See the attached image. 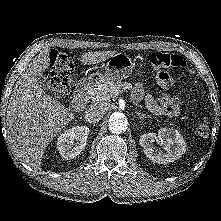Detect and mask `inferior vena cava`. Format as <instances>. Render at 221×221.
Masks as SVG:
<instances>
[{
  "label": "inferior vena cava",
  "instance_id": "inferior-vena-cava-1",
  "mask_svg": "<svg viewBox=\"0 0 221 221\" xmlns=\"http://www.w3.org/2000/svg\"><path fill=\"white\" fill-rule=\"evenodd\" d=\"M107 107L105 104H94L86 108L85 119L90 123H96L103 118Z\"/></svg>",
  "mask_w": 221,
  "mask_h": 221
}]
</instances>
